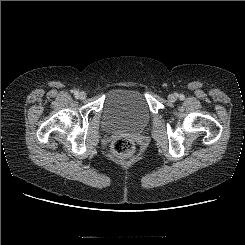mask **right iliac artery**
<instances>
[{"label":"right iliac artery","mask_w":245,"mask_h":245,"mask_svg":"<svg viewBox=\"0 0 245 245\" xmlns=\"http://www.w3.org/2000/svg\"><path fill=\"white\" fill-rule=\"evenodd\" d=\"M73 93L75 96H77L79 92L77 90H74Z\"/></svg>","instance_id":"right-iliac-artery-1"}]
</instances>
